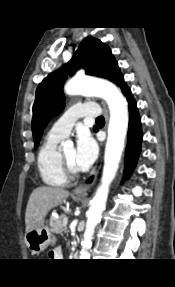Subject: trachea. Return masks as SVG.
<instances>
[{
    "label": "trachea",
    "instance_id": "trachea-1",
    "mask_svg": "<svg viewBox=\"0 0 175 287\" xmlns=\"http://www.w3.org/2000/svg\"><path fill=\"white\" fill-rule=\"evenodd\" d=\"M96 122H97V123H104V122H105L104 117H103V116L98 117V118L96 119Z\"/></svg>",
    "mask_w": 175,
    "mask_h": 287
}]
</instances>
